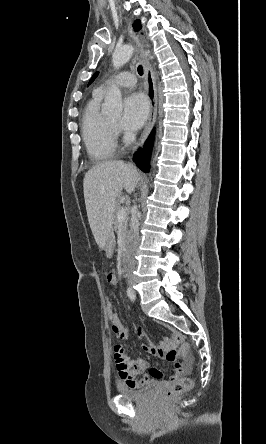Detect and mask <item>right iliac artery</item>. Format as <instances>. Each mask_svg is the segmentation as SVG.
I'll list each match as a JSON object with an SVG mask.
<instances>
[{
    "label": "right iliac artery",
    "mask_w": 266,
    "mask_h": 444,
    "mask_svg": "<svg viewBox=\"0 0 266 444\" xmlns=\"http://www.w3.org/2000/svg\"><path fill=\"white\" fill-rule=\"evenodd\" d=\"M127 296L129 297V299L131 300V301H134L135 300V298H136V296H135V293H134V290L132 289V288H127Z\"/></svg>",
    "instance_id": "obj_1"
}]
</instances>
